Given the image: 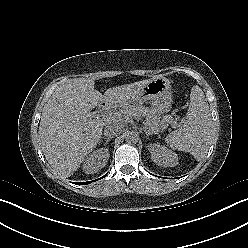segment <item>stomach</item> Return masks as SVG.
Here are the masks:
<instances>
[{"label": "stomach", "mask_w": 248, "mask_h": 248, "mask_svg": "<svg viewBox=\"0 0 248 248\" xmlns=\"http://www.w3.org/2000/svg\"><path fill=\"white\" fill-rule=\"evenodd\" d=\"M146 101L153 102V108L160 113L169 111L172 104V92L170 81L163 76H155L151 78L128 104L137 105Z\"/></svg>", "instance_id": "1"}]
</instances>
